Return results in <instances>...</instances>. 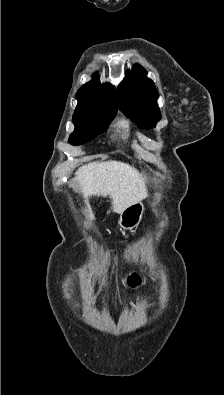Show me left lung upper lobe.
<instances>
[{"label": "left lung upper lobe", "mask_w": 224, "mask_h": 395, "mask_svg": "<svg viewBox=\"0 0 224 395\" xmlns=\"http://www.w3.org/2000/svg\"><path fill=\"white\" fill-rule=\"evenodd\" d=\"M143 67L136 64L132 77H127L118 87V107L141 128H153L160 120L157 105L158 91L153 81L146 77Z\"/></svg>", "instance_id": "obj_1"}]
</instances>
